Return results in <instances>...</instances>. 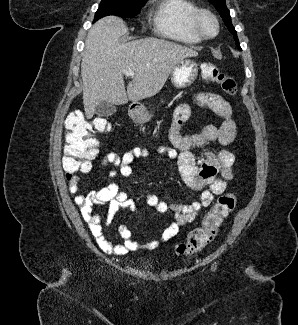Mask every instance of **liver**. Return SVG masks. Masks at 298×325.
<instances>
[{"mask_svg": "<svg viewBox=\"0 0 298 325\" xmlns=\"http://www.w3.org/2000/svg\"><path fill=\"white\" fill-rule=\"evenodd\" d=\"M128 32L120 16H103L88 30L82 52L81 76L86 118L97 104L138 102L160 92L181 58L198 56L193 46L163 38H138L120 42ZM124 70H134L125 88Z\"/></svg>", "mask_w": 298, "mask_h": 325, "instance_id": "obj_1", "label": "liver"}]
</instances>
